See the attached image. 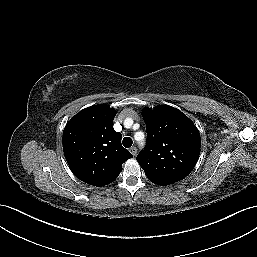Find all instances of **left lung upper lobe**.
Listing matches in <instances>:
<instances>
[{
    "label": "left lung upper lobe",
    "instance_id": "1",
    "mask_svg": "<svg viewBox=\"0 0 257 257\" xmlns=\"http://www.w3.org/2000/svg\"><path fill=\"white\" fill-rule=\"evenodd\" d=\"M147 146L136 160L148 179L169 185L185 178L194 168L200 153L197 127L180 110L171 106L146 108Z\"/></svg>",
    "mask_w": 257,
    "mask_h": 257
}]
</instances>
